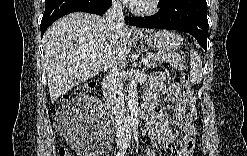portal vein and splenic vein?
<instances>
[{
	"mask_svg": "<svg viewBox=\"0 0 247 156\" xmlns=\"http://www.w3.org/2000/svg\"><path fill=\"white\" fill-rule=\"evenodd\" d=\"M90 59H92V58H90ZM142 62L146 64L148 62V59L144 58V59H142Z\"/></svg>",
	"mask_w": 247,
	"mask_h": 156,
	"instance_id": "portal-vein-and-splenic-vein-1",
	"label": "portal vein and splenic vein"
}]
</instances>
